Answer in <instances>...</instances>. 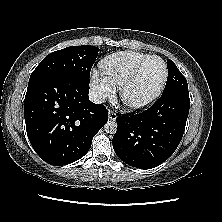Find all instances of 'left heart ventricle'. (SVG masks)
Here are the masks:
<instances>
[{"mask_svg": "<svg viewBox=\"0 0 222 222\" xmlns=\"http://www.w3.org/2000/svg\"><path fill=\"white\" fill-rule=\"evenodd\" d=\"M164 75V67L159 59H153L143 68L139 78L128 89L129 101L139 102L151 96L159 87Z\"/></svg>", "mask_w": 222, "mask_h": 222, "instance_id": "1", "label": "left heart ventricle"}]
</instances>
